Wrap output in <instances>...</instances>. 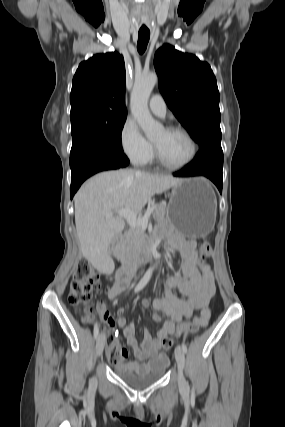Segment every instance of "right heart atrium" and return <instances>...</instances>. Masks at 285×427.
Wrapping results in <instances>:
<instances>
[{
    "label": "right heart atrium",
    "instance_id": "d8ad5b80",
    "mask_svg": "<svg viewBox=\"0 0 285 427\" xmlns=\"http://www.w3.org/2000/svg\"><path fill=\"white\" fill-rule=\"evenodd\" d=\"M119 139L124 155L132 163L141 165L152 158L153 145L144 137L133 119L127 118L125 120L120 130Z\"/></svg>",
    "mask_w": 285,
    "mask_h": 427
}]
</instances>
